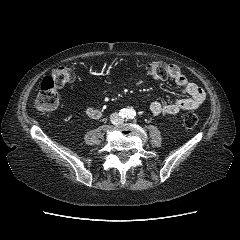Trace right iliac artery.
<instances>
[{
	"instance_id": "right-iliac-artery-1",
	"label": "right iliac artery",
	"mask_w": 240,
	"mask_h": 240,
	"mask_svg": "<svg viewBox=\"0 0 240 240\" xmlns=\"http://www.w3.org/2000/svg\"><path fill=\"white\" fill-rule=\"evenodd\" d=\"M119 115H120L122 118L127 117V110L122 109V110L120 111Z\"/></svg>"
}]
</instances>
